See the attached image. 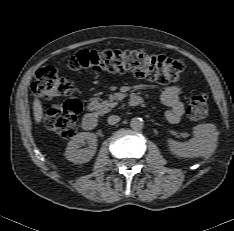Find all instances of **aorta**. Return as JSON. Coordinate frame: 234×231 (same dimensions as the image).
<instances>
[{
    "label": "aorta",
    "mask_w": 234,
    "mask_h": 231,
    "mask_svg": "<svg viewBox=\"0 0 234 231\" xmlns=\"http://www.w3.org/2000/svg\"><path fill=\"white\" fill-rule=\"evenodd\" d=\"M144 126V121L142 118L135 117L130 121V127L134 130H141Z\"/></svg>",
    "instance_id": "aorta-1"
}]
</instances>
